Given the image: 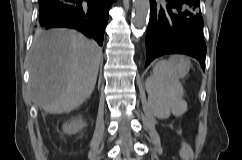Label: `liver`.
<instances>
[{
    "label": "liver",
    "mask_w": 242,
    "mask_h": 160,
    "mask_svg": "<svg viewBox=\"0 0 242 160\" xmlns=\"http://www.w3.org/2000/svg\"><path fill=\"white\" fill-rule=\"evenodd\" d=\"M29 58L32 102L46 113L62 114L92 94L102 49L81 33L61 29L37 34Z\"/></svg>",
    "instance_id": "liver-1"
}]
</instances>
